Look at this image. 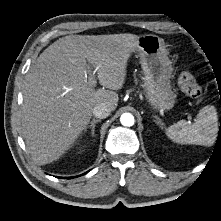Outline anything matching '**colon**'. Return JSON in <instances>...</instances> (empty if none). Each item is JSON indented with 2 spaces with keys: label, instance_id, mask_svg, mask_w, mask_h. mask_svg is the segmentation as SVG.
Listing matches in <instances>:
<instances>
[{
  "label": "colon",
  "instance_id": "colon-1",
  "mask_svg": "<svg viewBox=\"0 0 221 221\" xmlns=\"http://www.w3.org/2000/svg\"><path fill=\"white\" fill-rule=\"evenodd\" d=\"M181 90L189 97L200 100L202 98V90L194 76L185 71L179 75L178 79Z\"/></svg>",
  "mask_w": 221,
  "mask_h": 221
}]
</instances>
